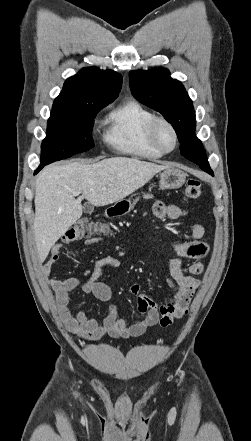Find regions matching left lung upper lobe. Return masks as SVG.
<instances>
[{
	"label": "left lung upper lobe",
	"mask_w": 251,
	"mask_h": 441,
	"mask_svg": "<svg viewBox=\"0 0 251 441\" xmlns=\"http://www.w3.org/2000/svg\"><path fill=\"white\" fill-rule=\"evenodd\" d=\"M129 85L134 97L160 112L175 129L181 155L209 172V163L200 140L195 135V111L184 86L163 68L131 71ZM210 173V172H209Z\"/></svg>",
	"instance_id": "1"
}]
</instances>
